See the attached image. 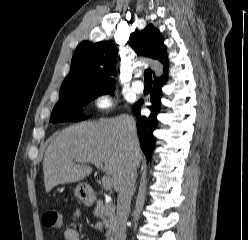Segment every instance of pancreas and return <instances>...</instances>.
I'll return each instance as SVG.
<instances>
[{"instance_id":"cf45deb5","label":"pancreas","mask_w":248,"mask_h":240,"mask_svg":"<svg viewBox=\"0 0 248 240\" xmlns=\"http://www.w3.org/2000/svg\"><path fill=\"white\" fill-rule=\"evenodd\" d=\"M94 215L103 220L107 229L105 235L106 240H114L117 225L114 204L104 203L102 200H97Z\"/></svg>"}]
</instances>
